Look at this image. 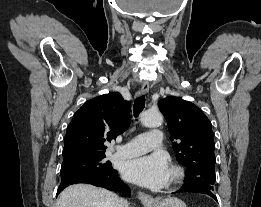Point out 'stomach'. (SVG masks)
Segmentation results:
<instances>
[{"label":"stomach","instance_id":"0dacf381","mask_svg":"<svg viewBox=\"0 0 261 207\" xmlns=\"http://www.w3.org/2000/svg\"><path fill=\"white\" fill-rule=\"evenodd\" d=\"M147 207H187L186 204L175 197H167L161 200H155V202Z\"/></svg>","mask_w":261,"mask_h":207}]
</instances>
